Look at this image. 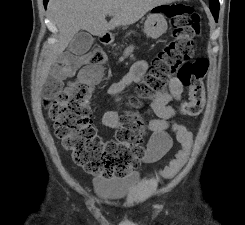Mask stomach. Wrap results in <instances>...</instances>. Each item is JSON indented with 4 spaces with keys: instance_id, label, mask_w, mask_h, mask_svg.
<instances>
[{
    "instance_id": "stomach-1",
    "label": "stomach",
    "mask_w": 245,
    "mask_h": 225,
    "mask_svg": "<svg viewBox=\"0 0 245 225\" xmlns=\"http://www.w3.org/2000/svg\"><path fill=\"white\" fill-rule=\"evenodd\" d=\"M165 6L166 4L154 7L144 23V33L148 38L158 39L166 33L168 24L165 19Z\"/></svg>"
}]
</instances>
